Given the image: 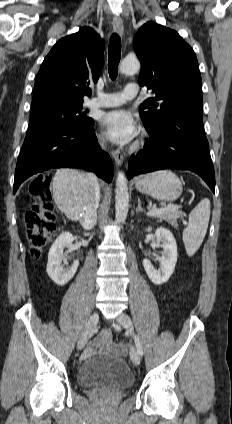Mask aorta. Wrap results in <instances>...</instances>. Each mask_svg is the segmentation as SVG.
Segmentation results:
<instances>
[{
    "mask_svg": "<svg viewBox=\"0 0 232 424\" xmlns=\"http://www.w3.org/2000/svg\"><path fill=\"white\" fill-rule=\"evenodd\" d=\"M140 62L136 58H125L120 63L119 71L125 75H132L140 70ZM115 220L124 222L129 208V193L127 179L123 172H119L116 179Z\"/></svg>",
    "mask_w": 232,
    "mask_h": 424,
    "instance_id": "aorta-1",
    "label": "aorta"
}]
</instances>
